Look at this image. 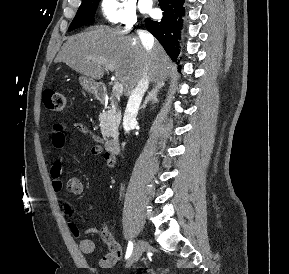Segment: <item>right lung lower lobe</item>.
<instances>
[{
    "mask_svg": "<svg viewBox=\"0 0 289 274\" xmlns=\"http://www.w3.org/2000/svg\"><path fill=\"white\" fill-rule=\"evenodd\" d=\"M159 6L163 10V18L160 21L145 20L147 30L162 44L172 60H176L179 54L178 39L182 29L181 17L184 15V0H159Z\"/></svg>",
    "mask_w": 289,
    "mask_h": 274,
    "instance_id": "98d812e1",
    "label": "right lung lower lobe"
}]
</instances>
